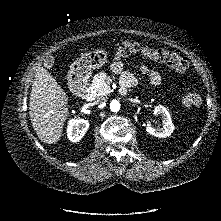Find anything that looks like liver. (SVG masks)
<instances>
[{
	"mask_svg": "<svg viewBox=\"0 0 221 221\" xmlns=\"http://www.w3.org/2000/svg\"><path fill=\"white\" fill-rule=\"evenodd\" d=\"M68 96L54 77L38 67L32 84L29 115L38 138L46 144H55L62 137L69 116Z\"/></svg>",
	"mask_w": 221,
	"mask_h": 221,
	"instance_id": "6515ba94",
	"label": "liver"
}]
</instances>
